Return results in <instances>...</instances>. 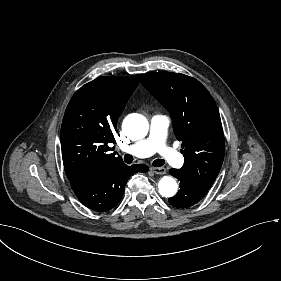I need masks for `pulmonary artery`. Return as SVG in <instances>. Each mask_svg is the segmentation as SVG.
I'll use <instances>...</instances> for the list:
<instances>
[{"label": "pulmonary artery", "mask_w": 281, "mask_h": 281, "mask_svg": "<svg viewBox=\"0 0 281 281\" xmlns=\"http://www.w3.org/2000/svg\"><path fill=\"white\" fill-rule=\"evenodd\" d=\"M148 122V131L151 134L147 137V141L135 142L132 146V153L135 156L149 158L153 152L158 151L173 168H181L184 165V158L174 150L164 147L163 139L171 124L170 117L163 113H158Z\"/></svg>", "instance_id": "obj_1"}]
</instances>
